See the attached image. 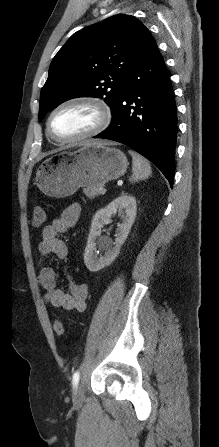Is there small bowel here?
I'll list each match as a JSON object with an SVG mask.
<instances>
[{"label":"small bowel","mask_w":219,"mask_h":447,"mask_svg":"<svg viewBox=\"0 0 219 447\" xmlns=\"http://www.w3.org/2000/svg\"><path fill=\"white\" fill-rule=\"evenodd\" d=\"M81 207L78 203L67 206L50 224L43 227L41 241L38 245L40 256L37 282L44 291V299L55 308L67 311L83 312L87 307L89 285L77 283L67 276L68 292L57 287L56 273L53 268L43 263L50 254L63 259L68 254L67 244L58 238L60 233L73 228L80 216Z\"/></svg>","instance_id":"obj_1"}]
</instances>
